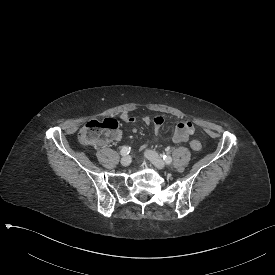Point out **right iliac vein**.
I'll use <instances>...</instances> for the list:
<instances>
[{
    "instance_id": "1",
    "label": "right iliac vein",
    "mask_w": 275,
    "mask_h": 275,
    "mask_svg": "<svg viewBox=\"0 0 275 275\" xmlns=\"http://www.w3.org/2000/svg\"><path fill=\"white\" fill-rule=\"evenodd\" d=\"M120 162L122 166H129L131 163V157L126 155L121 159Z\"/></svg>"
}]
</instances>
